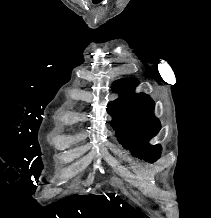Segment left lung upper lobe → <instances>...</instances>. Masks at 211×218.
Returning <instances> with one entry per match:
<instances>
[{"instance_id": "5c2ea615", "label": "left lung upper lobe", "mask_w": 211, "mask_h": 218, "mask_svg": "<svg viewBox=\"0 0 211 218\" xmlns=\"http://www.w3.org/2000/svg\"><path fill=\"white\" fill-rule=\"evenodd\" d=\"M138 85L134 79H121L113 83L112 89L120 97L108 105L114 120L111 125L121 144L138 158L154 162L160 157V145H149L148 141L160 130L159 120L153 115L154 102L145 94L135 95ZM124 93H130L122 96Z\"/></svg>"}]
</instances>
